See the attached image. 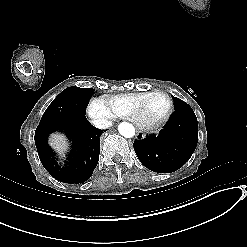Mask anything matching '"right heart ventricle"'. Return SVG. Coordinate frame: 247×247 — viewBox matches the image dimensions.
<instances>
[{"instance_id":"e07e8e85","label":"right heart ventricle","mask_w":247,"mask_h":247,"mask_svg":"<svg viewBox=\"0 0 247 247\" xmlns=\"http://www.w3.org/2000/svg\"><path fill=\"white\" fill-rule=\"evenodd\" d=\"M150 92L104 95L100 99L111 111L112 119H127L133 116L138 105L145 100Z\"/></svg>"}]
</instances>
